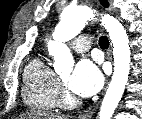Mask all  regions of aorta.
Listing matches in <instances>:
<instances>
[{
    "label": "aorta",
    "mask_w": 142,
    "mask_h": 119,
    "mask_svg": "<svg viewBox=\"0 0 142 119\" xmlns=\"http://www.w3.org/2000/svg\"><path fill=\"white\" fill-rule=\"evenodd\" d=\"M95 19L93 10L87 7H66L61 13V20L53 32V40L47 43L48 53L54 58V68L58 73H70L74 59L65 42L77 36L86 23ZM101 23L107 30L114 57V73L104 96L99 119H111L127 84L130 71L129 40L122 24L113 16L104 15Z\"/></svg>",
    "instance_id": "762f6f07"
}]
</instances>
